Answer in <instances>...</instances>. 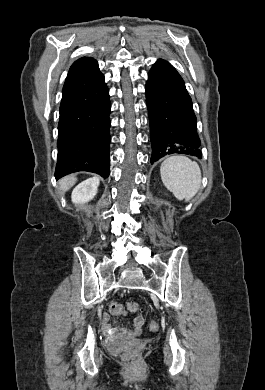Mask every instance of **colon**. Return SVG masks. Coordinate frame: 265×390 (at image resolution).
Returning a JSON list of instances; mask_svg holds the SVG:
<instances>
[{
	"label": "colon",
	"instance_id": "obj_1",
	"mask_svg": "<svg viewBox=\"0 0 265 390\" xmlns=\"http://www.w3.org/2000/svg\"><path fill=\"white\" fill-rule=\"evenodd\" d=\"M127 308L131 312L139 311V305L136 302H129L127 304ZM109 310L114 315H123V314H125L124 307L121 304H119L117 302H114V301L109 303ZM149 328L152 331H157L159 329L158 322L151 321L150 324H149ZM137 356H138V350L136 348H129L125 352V355H124L125 359L127 361H129V362H134L137 359Z\"/></svg>",
	"mask_w": 265,
	"mask_h": 390
}]
</instances>
